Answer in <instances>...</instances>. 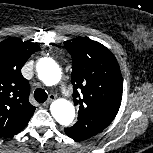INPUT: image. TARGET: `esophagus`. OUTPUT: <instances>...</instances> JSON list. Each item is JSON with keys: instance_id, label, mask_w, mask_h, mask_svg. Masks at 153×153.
Returning a JSON list of instances; mask_svg holds the SVG:
<instances>
[{"instance_id": "obj_1", "label": "esophagus", "mask_w": 153, "mask_h": 153, "mask_svg": "<svg viewBox=\"0 0 153 153\" xmlns=\"http://www.w3.org/2000/svg\"><path fill=\"white\" fill-rule=\"evenodd\" d=\"M55 99V95L50 94L46 102L43 103L44 106H48Z\"/></svg>"}]
</instances>
